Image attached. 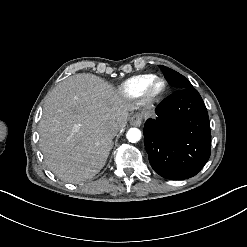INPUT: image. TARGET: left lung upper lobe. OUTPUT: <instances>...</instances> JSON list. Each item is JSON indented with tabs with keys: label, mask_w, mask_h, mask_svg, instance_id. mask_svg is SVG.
<instances>
[{
	"label": "left lung upper lobe",
	"mask_w": 247,
	"mask_h": 247,
	"mask_svg": "<svg viewBox=\"0 0 247 247\" xmlns=\"http://www.w3.org/2000/svg\"><path fill=\"white\" fill-rule=\"evenodd\" d=\"M160 68L162 69L167 81L172 86L176 87L178 90L186 89V88H193L192 84L183 75L162 65H160Z\"/></svg>",
	"instance_id": "obj_1"
}]
</instances>
